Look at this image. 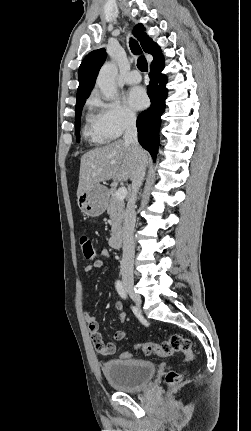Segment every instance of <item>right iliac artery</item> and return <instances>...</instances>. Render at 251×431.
I'll use <instances>...</instances> for the list:
<instances>
[{"label": "right iliac artery", "mask_w": 251, "mask_h": 431, "mask_svg": "<svg viewBox=\"0 0 251 431\" xmlns=\"http://www.w3.org/2000/svg\"><path fill=\"white\" fill-rule=\"evenodd\" d=\"M115 288H116L118 294L121 296V298H123V299L127 298L126 291H125L124 286L120 280L116 281Z\"/></svg>", "instance_id": "1"}]
</instances>
